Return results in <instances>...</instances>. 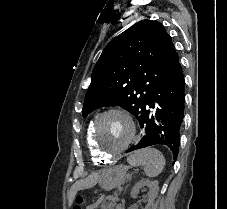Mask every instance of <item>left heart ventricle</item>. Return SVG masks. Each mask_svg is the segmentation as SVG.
<instances>
[{
  "label": "left heart ventricle",
  "mask_w": 227,
  "mask_h": 209,
  "mask_svg": "<svg viewBox=\"0 0 227 209\" xmlns=\"http://www.w3.org/2000/svg\"><path fill=\"white\" fill-rule=\"evenodd\" d=\"M131 135L128 120L118 113L107 115L98 128V141L107 151H113L124 145Z\"/></svg>",
  "instance_id": "1"
}]
</instances>
